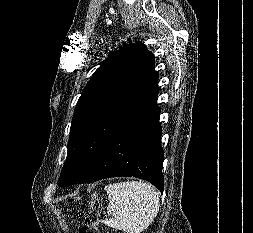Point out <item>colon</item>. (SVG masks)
<instances>
[{
    "mask_svg": "<svg viewBox=\"0 0 253 233\" xmlns=\"http://www.w3.org/2000/svg\"><path fill=\"white\" fill-rule=\"evenodd\" d=\"M76 200L71 198L70 201ZM100 202L96 199L91 200L90 210L85 216L84 224L80 228L79 233H99L98 220H99Z\"/></svg>",
    "mask_w": 253,
    "mask_h": 233,
    "instance_id": "5ec220e1",
    "label": "colon"
}]
</instances>
